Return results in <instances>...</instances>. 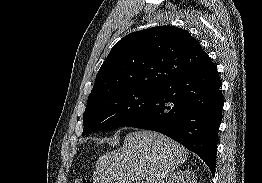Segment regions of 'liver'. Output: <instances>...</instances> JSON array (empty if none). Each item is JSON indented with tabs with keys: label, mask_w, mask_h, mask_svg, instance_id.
Listing matches in <instances>:
<instances>
[{
	"label": "liver",
	"mask_w": 262,
	"mask_h": 183,
	"mask_svg": "<svg viewBox=\"0 0 262 183\" xmlns=\"http://www.w3.org/2000/svg\"><path fill=\"white\" fill-rule=\"evenodd\" d=\"M187 158V150L163 134L131 132L121 148L99 157L93 183H166Z\"/></svg>",
	"instance_id": "6515ba94"
}]
</instances>
